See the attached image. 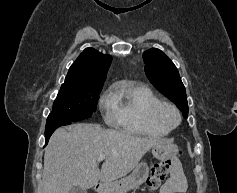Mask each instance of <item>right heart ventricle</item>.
I'll return each instance as SVG.
<instances>
[{
  "mask_svg": "<svg viewBox=\"0 0 237 193\" xmlns=\"http://www.w3.org/2000/svg\"><path fill=\"white\" fill-rule=\"evenodd\" d=\"M110 122L123 131L143 136H164L168 130L152 120V110L161 100L142 84L123 83L112 94Z\"/></svg>",
  "mask_w": 237,
  "mask_h": 193,
  "instance_id": "obj_1",
  "label": "right heart ventricle"
}]
</instances>
